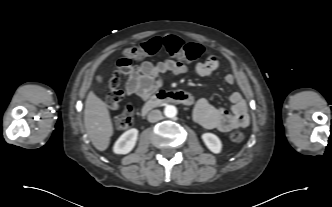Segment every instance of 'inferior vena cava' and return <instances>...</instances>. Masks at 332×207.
<instances>
[{"label": "inferior vena cava", "instance_id": "1", "mask_svg": "<svg viewBox=\"0 0 332 207\" xmlns=\"http://www.w3.org/2000/svg\"><path fill=\"white\" fill-rule=\"evenodd\" d=\"M162 119V113L160 110H152L148 114V121L149 122H157Z\"/></svg>", "mask_w": 332, "mask_h": 207}]
</instances>
